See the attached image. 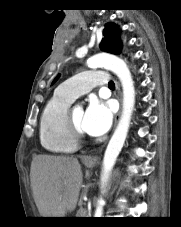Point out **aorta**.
I'll return each instance as SVG.
<instances>
[{"mask_svg":"<svg viewBox=\"0 0 181 227\" xmlns=\"http://www.w3.org/2000/svg\"><path fill=\"white\" fill-rule=\"evenodd\" d=\"M87 64L92 68L105 67L114 72L119 78L123 89L122 115L104 154L101 179L103 187L107 182L109 174L113 169L115 161L123 147L128 133L135 103V89L130 71L122 59L111 54L101 53L91 57ZM104 203V199L100 196L97 202L94 217H102Z\"/></svg>","mask_w":181,"mask_h":227,"instance_id":"1","label":"aorta"}]
</instances>
